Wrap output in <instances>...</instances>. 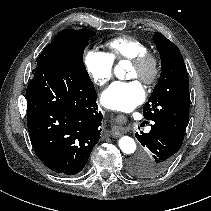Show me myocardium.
Here are the masks:
<instances>
[{
  "mask_svg": "<svg viewBox=\"0 0 211 211\" xmlns=\"http://www.w3.org/2000/svg\"><path fill=\"white\" fill-rule=\"evenodd\" d=\"M138 70V78L150 86L159 78L161 72V62L158 55L152 52H144L130 60Z\"/></svg>",
  "mask_w": 211,
  "mask_h": 211,
  "instance_id": "obj_1",
  "label": "myocardium"
}]
</instances>
